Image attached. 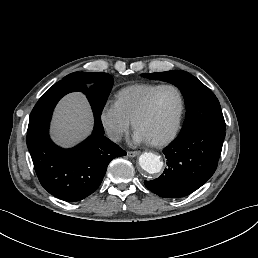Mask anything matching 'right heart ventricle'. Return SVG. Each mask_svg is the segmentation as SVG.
Listing matches in <instances>:
<instances>
[{
	"mask_svg": "<svg viewBox=\"0 0 258 258\" xmlns=\"http://www.w3.org/2000/svg\"><path fill=\"white\" fill-rule=\"evenodd\" d=\"M157 84H135L121 89L114 104L130 122L134 123L148 96L158 87Z\"/></svg>",
	"mask_w": 258,
	"mask_h": 258,
	"instance_id": "1",
	"label": "right heart ventricle"
}]
</instances>
